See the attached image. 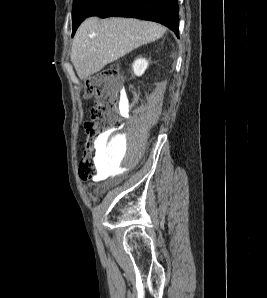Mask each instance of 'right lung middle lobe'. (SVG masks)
<instances>
[{"instance_id": "right-lung-middle-lobe-1", "label": "right lung middle lobe", "mask_w": 267, "mask_h": 298, "mask_svg": "<svg viewBox=\"0 0 267 298\" xmlns=\"http://www.w3.org/2000/svg\"><path fill=\"white\" fill-rule=\"evenodd\" d=\"M101 0H74L72 10L73 30L90 15Z\"/></svg>"}]
</instances>
